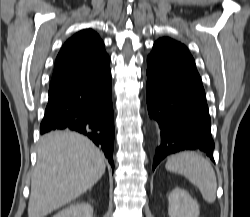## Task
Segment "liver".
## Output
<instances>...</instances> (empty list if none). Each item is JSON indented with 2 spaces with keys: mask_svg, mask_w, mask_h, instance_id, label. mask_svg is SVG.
I'll return each mask as SVG.
<instances>
[{
  "mask_svg": "<svg viewBox=\"0 0 250 217\" xmlns=\"http://www.w3.org/2000/svg\"><path fill=\"white\" fill-rule=\"evenodd\" d=\"M37 154L28 217H44L76 199L101 179L106 168L100 150L75 132L44 135Z\"/></svg>",
  "mask_w": 250,
  "mask_h": 217,
  "instance_id": "6515ba94",
  "label": "liver"
}]
</instances>
